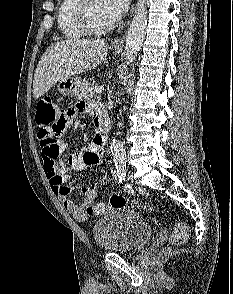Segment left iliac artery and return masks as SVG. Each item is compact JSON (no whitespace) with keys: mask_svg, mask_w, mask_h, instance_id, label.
<instances>
[{"mask_svg":"<svg viewBox=\"0 0 233 294\" xmlns=\"http://www.w3.org/2000/svg\"><path fill=\"white\" fill-rule=\"evenodd\" d=\"M117 176L120 184H124V180L126 179V162H121L116 164ZM128 192V191H126Z\"/></svg>","mask_w":233,"mask_h":294,"instance_id":"left-iliac-artery-1","label":"left iliac artery"}]
</instances>
